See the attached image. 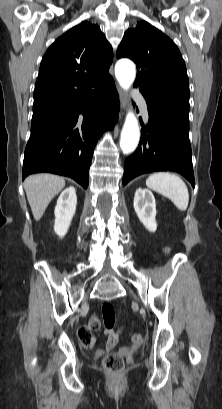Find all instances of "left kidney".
Wrapping results in <instances>:
<instances>
[{"instance_id":"1","label":"left kidney","mask_w":222,"mask_h":409,"mask_svg":"<svg viewBox=\"0 0 222 409\" xmlns=\"http://www.w3.org/2000/svg\"><path fill=\"white\" fill-rule=\"evenodd\" d=\"M134 209L141 223L150 232L157 229L156 203L153 193L148 189L138 188L134 196Z\"/></svg>"}]
</instances>
